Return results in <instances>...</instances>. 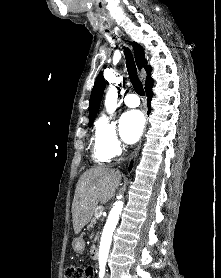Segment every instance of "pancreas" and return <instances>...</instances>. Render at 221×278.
I'll return each mask as SVG.
<instances>
[{
  "label": "pancreas",
  "mask_w": 221,
  "mask_h": 278,
  "mask_svg": "<svg viewBox=\"0 0 221 278\" xmlns=\"http://www.w3.org/2000/svg\"><path fill=\"white\" fill-rule=\"evenodd\" d=\"M98 218H99L98 210H96L94 213V217L90 223L91 227H96L97 225H98V227H103V225H104L103 222H100Z\"/></svg>",
  "instance_id": "pancreas-1"
}]
</instances>
